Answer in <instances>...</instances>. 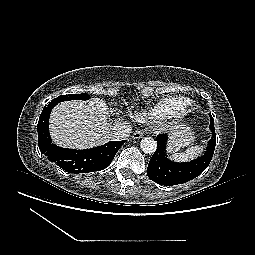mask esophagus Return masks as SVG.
Here are the masks:
<instances>
[{
	"instance_id": "obj_1",
	"label": "esophagus",
	"mask_w": 255,
	"mask_h": 255,
	"mask_svg": "<svg viewBox=\"0 0 255 255\" xmlns=\"http://www.w3.org/2000/svg\"><path fill=\"white\" fill-rule=\"evenodd\" d=\"M144 133L141 130H137L133 133L132 138L135 140L141 139L143 137Z\"/></svg>"
}]
</instances>
